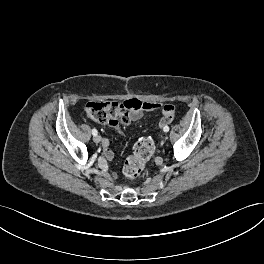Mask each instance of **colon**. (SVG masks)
<instances>
[{
	"label": "colon",
	"instance_id": "obj_1",
	"mask_svg": "<svg viewBox=\"0 0 264 264\" xmlns=\"http://www.w3.org/2000/svg\"><path fill=\"white\" fill-rule=\"evenodd\" d=\"M125 105L122 102H90L86 105V114L94 121L107 123L112 126L128 124V112H125ZM165 118L160 125L168 122ZM154 152V144L150 137L140 138L134 145L133 154L128 157L123 167V174L126 179L133 180L143 171L145 164Z\"/></svg>",
	"mask_w": 264,
	"mask_h": 264
}]
</instances>
